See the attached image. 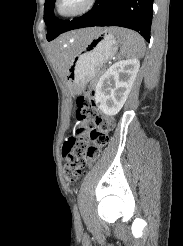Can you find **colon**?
Returning a JSON list of instances; mask_svg holds the SVG:
<instances>
[{"label":"colon","mask_w":183,"mask_h":246,"mask_svg":"<svg viewBox=\"0 0 183 246\" xmlns=\"http://www.w3.org/2000/svg\"><path fill=\"white\" fill-rule=\"evenodd\" d=\"M115 122L112 117L104 116L96 109L94 92L91 89L77 98L76 133L78 138L65 142L64 176L67 182L73 183L84 174L85 169L96 162L107 146L110 132Z\"/></svg>","instance_id":"colon-1"}]
</instances>
